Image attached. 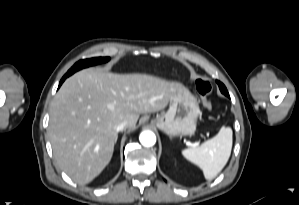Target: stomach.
Returning a JSON list of instances; mask_svg holds the SVG:
<instances>
[{"mask_svg":"<svg viewBox=\"0 0 299 205\" xmlns=\"http://www.w3.org/2000/svg\"><path fill=\"white\" fill-rule=\"evenodd\" d=\"M200 114L196 97L184 86L170 99L169 109L153 123L169 137L191 135Z\"/></svg>","mask_w":299,"mask_h":205,"instance_id":"obj_1","label":"stomach"}]
</instances>
